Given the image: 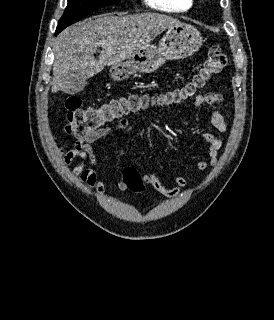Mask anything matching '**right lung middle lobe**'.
Listing matches in <instances>:
<instances>
[{"label":"right lung middle lobe","mask_w":274,"mask_h":320,"mask_svg":"<svg viewBox=\"0 0 274 320\" xmlns=\"http://www.w3.org/2000/svg\"><path fill=\"white\" fill-rule=\"evenodd\" d=\"M118 2H120V0H68V5L59 20L56 31L58 33L61 32L67 26L78 22L93 10Z\"/></svg>","instance_id":"right-lung-middle-lobe-1"}]
</instances>
